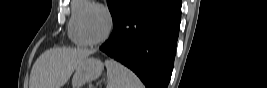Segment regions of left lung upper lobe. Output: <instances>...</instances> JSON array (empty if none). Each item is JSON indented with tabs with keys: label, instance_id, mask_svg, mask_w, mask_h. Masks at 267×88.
Segmentation results:
<instances>
[{
	"label": "left lung upper lobe",
	"instance_id": "left-lung-upper-lobe-1",
	"mask_svg": "<svg viewBox=\"0 0 267 88\" xmlns=\"http://www.w3.org/2000/svg\"><path fill=\"white\" fill-rule=\"evenodd\" d=\"M128 2L129 0H107L113 22L117 19Z\"/></svg>",
	"mask_w": 267,
	"mask_h": 88
}]
</instances>
